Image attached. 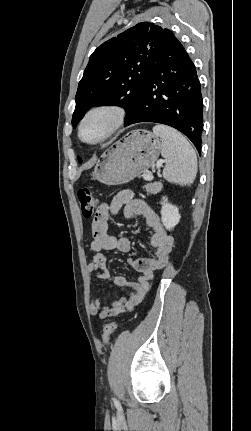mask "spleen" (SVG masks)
Listing matches in <instances>:
<instances>
[{
  "instance_id": "3e777b00",
  "label": "spleen",
  "mask_w": 251,
  "mask_h": 431,
  "mask_svg": "<svg viewBox=\"0 0 251 431\" xmlns=\"http://www.w3.org/2000/svg\"><path fill=\"white\" fill-rule=\"evenodd\" d=\"M161 138V155L166 159L163 177L182 186L191 185L197 174V156L187 139L177 130L162 124L153 127Z\"/></svg>"
}]
</instances>
